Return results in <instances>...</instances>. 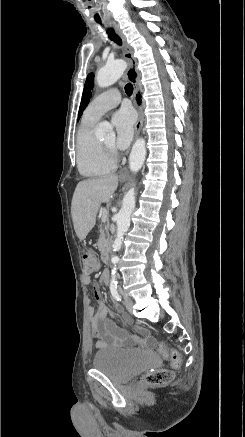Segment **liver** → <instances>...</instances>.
Here are the masks:
<instances>
[{
  "label": "liver",
  "instance_id": "1",
  "mask_svg": "<svg viewBox=\"0 0 245 437\" xmlns=\"http://www.w3.org/2000/svg\"><path fill=\"white\" fill-rule=\"evenodd\" d=\"M117 187V175L87 179L77 184L71 203V215L74 230L80 241L84 240L95 226L101 203L108 204Z\"/></svg>",
  "mask_w": 245,
  "mask_h": 437
}]
</instances>
